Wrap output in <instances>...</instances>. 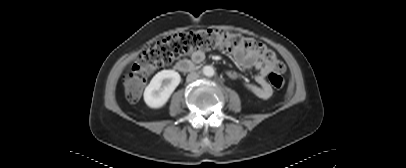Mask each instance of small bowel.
<instances>
[{
	"label": "small bowel",
	"mask_w": 406,
	"mask_h": 168,
	"mask_svg": "<svg viewBox=\"0 0 406 168\" xmlns=\"http://www.w3.org/2000/svg\"><path fill=\"white\" fill-rule=\"evenodd\" d=\"M234 59L243 68H255L258 70V74L255 76L257 85L246 84L245 87L249 92L260 99H268L272 96V88L267 83L266 77L273 70L271 63L263 61L256 53L253 52H233ZM203 52H195L192 55V59L195 63H200L204 59ZM231 79H237L239 74L235 71H229L227 73Z\"/></svg>",
	"instance_id": "1"
}]
</instances>
